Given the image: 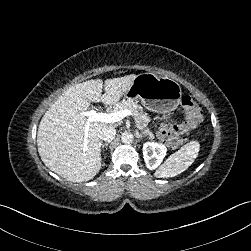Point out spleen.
<instances>
[{
	"label": "spleen",
	"instance_id": "3e777b00",
	"mask_svg": "<svg viewBox=\"0 0 251 251\" xmlns=\"http://www.w3.org/2000/svg\"><path fill=\"white\" fill-rule=\"evenodd\" d=\"M200 143L190 141L180 150L170 155L168 159L154 173L156 178L174 177L185 171L198 156Z\"/></svg>",
	"mask_w": 251,
	"mask_h": 251
}]
</instances>
